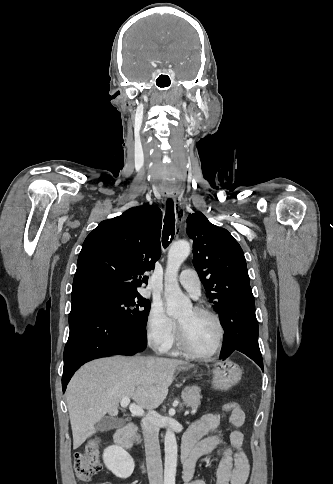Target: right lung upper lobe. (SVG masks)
I'll use <instances>...</instances> for the list:
<instances>
[{
  "label": "right lung upper lobe",
  "instance_id": "cb5924a9",
  "mask_svg": "<svg viewBox=\"0 0 333 484\" xmlns=\"http://www.w3.org/2000/svg\"><path fill=\"white\" fill-rule=\"evenodd\" d=\"M162 212L153 205L132 207L102 221L85 239L77 261L72 296L95 291L138 293L142 275L161 255Z\"/></svg>",
  "mask_w": 333,
  "mask_h": 484
}]
</instances>
